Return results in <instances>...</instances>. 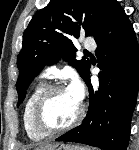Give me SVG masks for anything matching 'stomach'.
I'll return each instance as SVG.
<instances>
[{"instance_id": "1", "label": "stomach", "mask_w": 139, "mask_h": 150, "mask_svg": "<svg viewBox=\"0 0 139 150\" xmlns=\"http://www.w3.org/2000/svg\"><path fill=\"white\" fill-rule=\"evenodd\" d=\"M57 150H90V149L86 147L75 146V145H62Z\"/></svg>"}]
</instances>
